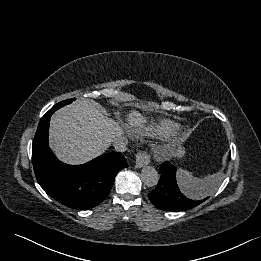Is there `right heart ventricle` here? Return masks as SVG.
<instances>
[{
  "label": "right heart ventricle",
  "mask_w": 261,
  "mask_h": 261,
  "mask_svg": "<svg viewBox=\"0 0 261 261\" xmlns=\"http://www.w3.org/2000/svg\"><path fill=\"white\" fill-rule=\"evenodd\" d=\"M177 128V123L168 119H161L145 128L142 134L149 137L166 136L174 132Z\"/></svg>",
  "instance_id": "e07e8e85"
}]
</instances>
